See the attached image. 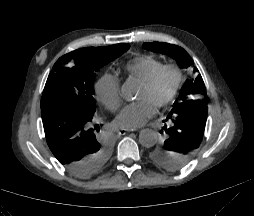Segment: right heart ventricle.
Masks as SVG:
<instances>
[{
  "mask_svg": "<svg viewBox=\"0 0 254 216\" xmlns=\"http://www.w3.org/2000/svg\"><path fill=\"white\" fill-rule=\"evenodd\" d=\"M161 65L163 64L160 60L152 56L142 55L128 62L126 71L130 77L143 82Z\"/></svg>",
  "mask_w": 254,
  "mask_h": 216,
  "instance_id": "right-heart-ventricle-1",
  "label": "right heart ventricle"
}]
</instances>
